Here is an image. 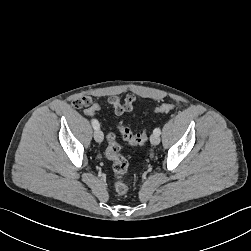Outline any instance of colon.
<instances>
[{
    "label": "colon",
    "instance_id": "5ec220e1",
    "mask_svg": "<svg viewBox=\"0 0 251 251\" xmlns=\"http://www.w3.org/2000/svg\"><path fill=\"white\" fill-rule=\"evenodd\" d=\"M175 108L174 104L171 103H163L155 108L156 113H166ZM103 107L99 105V103H94V105L90 108L85 109L84 116L95 121L94 115L96 112H103ZM100 126H103V123H100ZM118 129L123 137L128 143L132 145H143L146 143L148 139V134L146 130L140 133H132L131 130L122 124H118ZM108 145L105 150V156L112 163V169L115 177L114 189L120 194L124 195L128 192L129 185L123 179V175L126 173L128 169V161L124 156L120 153V146L116 141L115 135L110 133L107 135Z\"/></svg>",
    "mask_w": 251,
    "mask_h": 251
}]
</instances>
